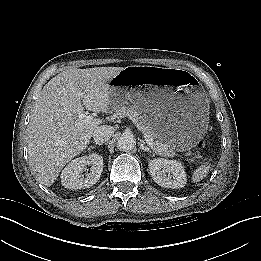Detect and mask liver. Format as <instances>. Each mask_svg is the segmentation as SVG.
<instances>
[{
  "instance_id": "1",
  "label": "liver",
  "mask_w": 261,
  "mask_h": 261,
  "mask_svg": "<svg viewBox=\"0 0 261 261\" xmlns=\"http://www.w3.org/2000/svg\"><path fill=\"white\" fill-rule=\"evenodd\" d=\"M123 69H66L44 86L27 127L29 162L41 184L51 186L62 168L87 147L100 126L79 125V111H108L109 82Z\"/></svg>"
}]
</instances>
